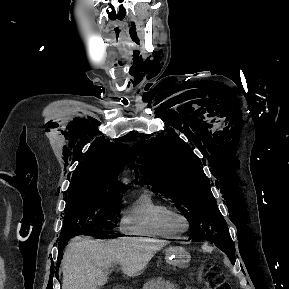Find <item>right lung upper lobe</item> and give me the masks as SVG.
<instances>
[{
  "mask_svg": "<svg viewBox=\"0 0 289 289\" xmlns=\"http://www.w3.org/2000/svg\"><path fill=\"white\" fill-rule=\"evenodd\" d=\"M75 169L68 198L107 194L121 195L117 177L126 162L128 146L122 143H93Z\"/></svg>",
  "mask_w": 289,
  "mask_h": 289,
  "instance_id": "obj_1",
  "label": "right lung upper lobe"
}]
</instances>
